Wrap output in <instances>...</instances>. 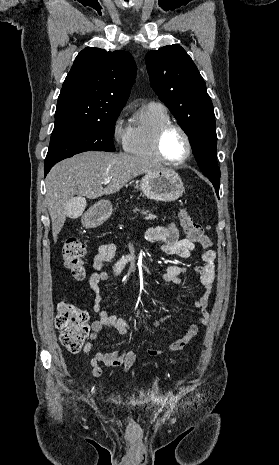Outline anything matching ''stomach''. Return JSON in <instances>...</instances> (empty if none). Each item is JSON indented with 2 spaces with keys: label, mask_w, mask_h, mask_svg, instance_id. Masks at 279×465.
<instances>
[{
  "label": "stomach",
  "mask_w": 279,
  "mask_h": 465,
  "mask_svg": "<svg viewBox=\"0 0 279 465\" xmlns=\"http://www.w3.org/2000/svg\"><path fill=\"white\" fill-rule=\"evenodd\" d=\"M140 189L147 198L163 202L175 201L185 191L182 179L171 169L147 173L140 181ZM112 212L111 202L101 200L84 215L83 225L90 228L97 227L104 223Z\"/></svg>",
  "instance_id": "stomach-1"
}]
</instances>
